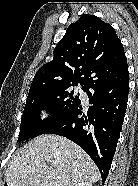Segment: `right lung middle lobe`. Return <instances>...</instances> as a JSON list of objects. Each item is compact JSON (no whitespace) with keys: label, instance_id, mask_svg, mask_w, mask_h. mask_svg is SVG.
Returning a JSON list of instances; mask_svg holds the SVG:
<instances>
[{"label":"right lung middle lobe","instance_id":"obj_1","mask_svg":"<svg viewBox=\"0 0 138 186\" xmlns=\"http://www.w3.org/2000/svg\"><path fill=\"white\" fill-rule=\"evenodd\" d=\"M72 86H77V84L28 94L21 119L18 141H24L46 133L80 103L81 100L79 96L75 95ZM82 89L84 90V87ZM44 106L49 107L51 116L41 120L40 111Z\"/></svg>","mask_w":138,"mask_h":186}]
</instances>
